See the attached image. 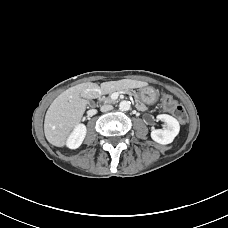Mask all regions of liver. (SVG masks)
Masks as SVG:
<instances>
[{"mask_svg":"<svg viewBox=\"0 0 228 228\" xmlns=\"http://www.w3.org/2000/svg\"><path fill=\"white\" fill-rule=\"evenodd\" d=\"M125 83H128L131 88L148 85L144 81L121 80L103 83L100 88L96 83L86 82L62 92L51 103L45 115L44 133L47 141L56 147L65 146L69 136L81 122L88 104L86 99H94L102 93L121 89Z\"/></svg>","mask_w":228,"mask_h":228,"instance_id":"obj_1","label":"liver"}]
</instances>
